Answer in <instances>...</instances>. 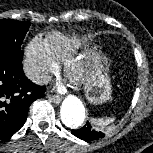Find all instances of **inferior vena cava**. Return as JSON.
<instances>
[{
    "mask_svg": "<svg viewBox=\"0 0 153 153\" xmlns=\"http://www.w3.org/2000/svg\"><path fill=\"white\" fill-rule=\"evenodd\" d=\"M26 76L34 83L43 85L50 82L51 78L44 72H38L37 70L26 69Z\"/></svg>",
    "mask_w": 153,
    "mask_h": 153,
    "instance_id": "inferior-vena-cava-1",
    "label": "inferior vena cava"
}]
</instances>
